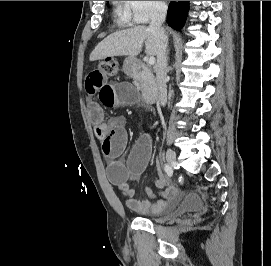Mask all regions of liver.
<instances>
[{
  "label": "liver",
  "instance_id": "6515ba94",
  "mask_svg": "<svg viewBox=\"0 0 271 266\" xmlns=\"http://www.w3.org/2000/svg\"><path fill=\"white\" fill-rule=\"evenodd\" d=\"M144 42L146 54L156 56L154 34L145 26H136L107 36L95 47L89 59L95 61L114 56L135 57L142 51Z\"/></svg>",
  "mask_w": 271,
  "mask_h": 266
}]
</instances>
